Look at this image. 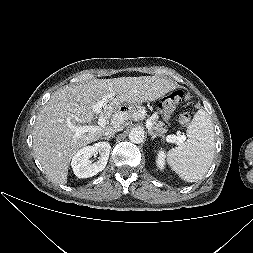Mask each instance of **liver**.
<instances>
[{
  "mask_svg": "<svg viewBox=\"0 0 253 253\" xmlns=\"http://www.w3.org/2000/svg\"><path fill=\"white\" fill-rule=\"evenodd\" d=\"M177 84L158 76L94 79L85 84L66 85L55 91L37 116L33 131V149L48 178L66 184L72 157L77 151L98 140L105 132L123 129L125 120L138 121L142 111H119L122 104H139L154 101ZM106 98L100 113L110 125L76 135L73 127L90 124L96 117L92 106ZM118 114L123 120H113ZM99 116V115H98Z\"/></svg>",
  "mask_w": 253,
  "mask_h": 253,
  "instance_id": "1",
  "label": "liver"
}]
</instances>
